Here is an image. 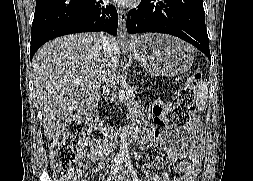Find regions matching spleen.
<instances>
[{
    "mask_svg": "<svg viewBox=\"0 0 253 181\" xmlns=\"http://www.w3.org/2000/svg\"><path fill=\"white\" fill-rule=\"evenodd\" d=\"M207 95H208V84L206 82H201L198 86V91L196 94V102L198 108H204L207 102Z\"/></svg>",
    "mask_w": 253,
    "mask_h": 181,
    "instance_id": "3e777b00",
    "label": "spleen"
}]
</instances>
